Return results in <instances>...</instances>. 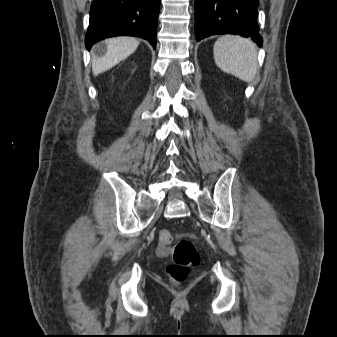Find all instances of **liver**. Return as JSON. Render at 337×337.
Masks as SVG:
<instances>
[{
  "label": "liver",
  "instance_id": "1",
  "mask_svg": "<svg viewBox=\"0 0 337 337\" xmlns=\"http://www.w3.org/2000/svg\"><path fill=\"white\" fill-rule=\"evenodd\" d=\"M104 45L106 53L92 62V71L95 76L111 69L134 53L139 41L134 37H114L105 40Z\"/></svg>",
  "mask_w": 337,
  "mask_h": 337
}]
</instances>
